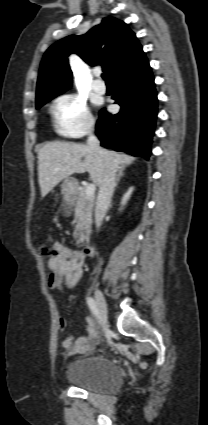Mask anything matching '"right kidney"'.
<instances>
[{
  "mask_svg": "<svg viewBox=\"0 0 208 425\" xmlns=\"http://www.w3.org/2000/svg\"><path fill=\"white\" fill-rule=\"evenodd\" d=\"M133 189H134L133 187H130L128 189V191L124 194V196L122 198V201H121V204L122 205H125L126 204L127 200L130 198V195H131Z\"/></svg>",
  "mask_w": 208,
  "mask_h": 425,
  "instance_id": "ca27d5eb",
  "label": "right kidney"
}]
</instances>
